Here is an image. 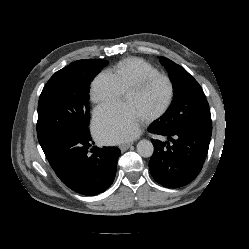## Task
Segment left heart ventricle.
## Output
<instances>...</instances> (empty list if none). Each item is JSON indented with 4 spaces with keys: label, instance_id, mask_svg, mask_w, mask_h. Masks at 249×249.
I'll return each instance as SVG.
<instances>
[{
    "label": "left heart ventricle",
    "instance_id": "left-heart-ventricle-1",
    "mask_svg": "<svg viewBox=\"0 0 249 249\" xmlns=\"http://www.w3.org/2000/svg\"><path fill=\"white\" fill-rule=\"evenodd\" d=\"M168 95L167 83L164 80H157L140 92L125 93L123 102L131 106L141 119H145L164 106Z\"/></svg>",
    "mask_w": 249,
    "mask_h": 249
}]
</instances>
